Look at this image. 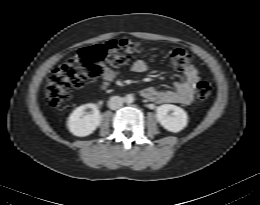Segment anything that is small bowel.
Wrapping results in <instances>:
<instances>
[{"label": "small bowel", "mask_w": 260, "mask_h": 205, "mask_svg": "<svg viewBox=\"0 0 260 205\" xmlns=\"http://www.w3.org/2000/svg\"><path fill=\"white\" fill-rule=\"evenodd\" d=\"M147 69V63L141 59L136 60L131 67V70L135 73H143L147 71ZM183 73L185 75V79L174 82L172 89L157 90L153 87H146L141 90V96L159 104H191L194 99L196 85L199 82L198 70L194 65L188 64L183 68ZM117 74V69L109 66H103L100 87L103 90H106L112 81L116 78Z\"/></svg>", "instance_id": "1"}]
</instances>
